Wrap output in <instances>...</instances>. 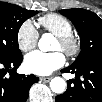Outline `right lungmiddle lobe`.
Returning <instances> with one entry per match:
<instances>
[{
  "label": "right lung middle lobe",
  "mask_w": 102,
  "mask_h": 102,
  "mask_svg": "<svg viewBox=\"0 0 102 102\" xmlns=\"http://www.w3.org/2000/svg\"><path fill=\"white\" fill-rule=\"evenodd\" d=\"M37 13L14 4L0 3V58L21 54L17 40L19 28L25 20Z\"/></svg>",
  "instance_id": "1"
}]
</instances>
